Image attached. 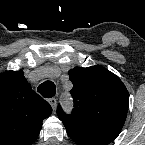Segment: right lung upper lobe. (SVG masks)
Instances as JSON below:
<instances>
[{"label":"right lung upper lobe","mask_w":145,"mask_h":145,"mask_svg":"<svg viewBox=\"0 0 145 145\" xmlns=\"http://www.w3.org/2000/svg\"><path fill=\"white\" fill-rule=\"evenodd\" d=\"M52 112L23 75V71L0 74V145H31L43 119Z\"/></svg>","instance_id":"1"}]
</instances>
